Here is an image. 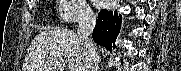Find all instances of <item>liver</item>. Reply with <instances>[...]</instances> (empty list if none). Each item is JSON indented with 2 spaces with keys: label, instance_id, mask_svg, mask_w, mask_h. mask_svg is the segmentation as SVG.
I'll use <instances>...</instances> for the list:
<instances>
[{
  "label": "liver",
  "instance_id": "obj_1",
  "mask_svg": "<svg viewBox=\"0 0 181 71\" xmlns=\"http://www.w3.org/2000/svg\"><path fill=\"white\" fill-rule=\"evenodd\" d=\"M55 52L67 58L69 71L84 70L86 53L78 35L70 30H50L39 33L31 42L23 71H58L62 62L51 55Z\"/></svg>",
  "mask_w": 181,
  "mask_h": 71
}]
</instances>
